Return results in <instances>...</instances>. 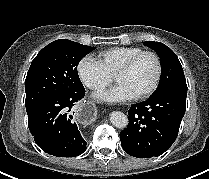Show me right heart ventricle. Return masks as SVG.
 Segmentation results:
<instances>
[{
	"instance_id": "right-heart-ventricle-1",
	"label": "right heart ventricle",
	"mask_w": 209,
	"mask_h": 179,
	"mask_svg": "<svg viewBox=\"0 0 209 179\" xmlns=\"http://www.w3.org/2000/svg\"><path fill=\"white\" fill-rule=\"evenodd\" d=\"M141 51L143 48L137 46L112 47L99 52L96 58L105 72L113 76L128 59Z\"/></svg>"
}]
</instances>
